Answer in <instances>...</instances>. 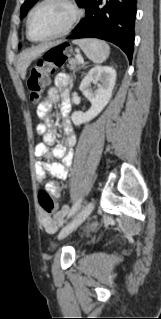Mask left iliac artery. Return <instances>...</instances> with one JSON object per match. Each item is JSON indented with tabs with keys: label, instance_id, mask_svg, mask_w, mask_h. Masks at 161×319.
<instances>
[{
	"label": "left iliac artery",
	"instance_id": "left-iliac-artery-1",
	"mask_svg": "<svg viewBox=\"0 0 161 319\" xmlns=\"http://www.w3.org/2000/svg\"><path fill=\"white\" fill-rule=\"evenodd\" d=\"M81 202H82V198H80L78 201H76V203L72 206V208L70 209V211L68 213V218H70L71 216H73L75 214V212L80 207Z\"/></svg>",
	"mask_w": 161,
	"mask_h": 319
}]
</instances>
